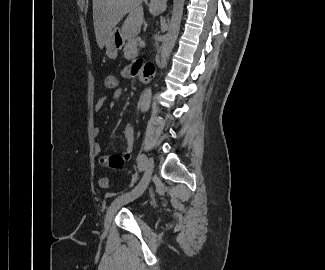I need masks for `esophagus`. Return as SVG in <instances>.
I'll list each match as a JSON object with an SVG mask.
<instances>
[{
    "label": "esophagus",
    "mask_w": 325,
    "mask_h": 270,
    "mask_svg": "<svg viewBox=\"0 0 325 270\" xmlns=\"http://www.w3.org/2000/svg\"><path fill=\"white\" fill-rule=\"evenodd\" d=\"M149 6L155 10L163 11L167 7V0H150Z\"/></svg>",
    "instance_id": "1"
}]
</instances>
